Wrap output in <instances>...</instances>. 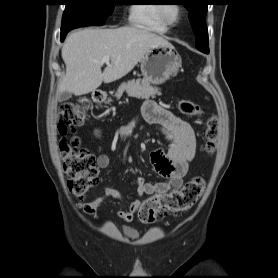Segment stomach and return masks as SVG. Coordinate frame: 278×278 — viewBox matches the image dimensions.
Wrapping results in <instances>:
<instances>
[{
    "label": "stomach",
    "mask_w": 278,
    "mask_h": 278,
    "mask_svg": "<svg viewBox=\"0 0 278 278\" xmlns=\"http://www.w3.org/2000/svg\"><path fill=\"white\" fill-rule=\"evenodd\" d=\"M181 66V57L172 45L152 47L141 59L144 79L156 85L177 75Z\"/></svg>",
    "instance_id": "obj_1"
}]
</instances>
